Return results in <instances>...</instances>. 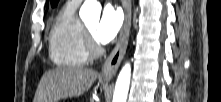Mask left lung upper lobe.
Segmentation results:
<instances>
[{"instance_id": "5c2ea615", "label": "left lung upper lobe", "mask_w": 221, "mask_h": 102, "mask_svg": "<svg viewBox=\"0 0 221 102\" xmlns=\"http://www.w3.org/2000/svg\"><path fill=\"white\" fill-rule=\"evenodd\" d=\"M59 0H51L52 7H55L58 4Z\"/></svg>"}]
</instances>
